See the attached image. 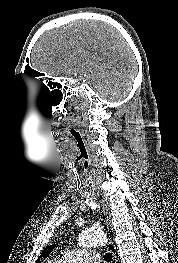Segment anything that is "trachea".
<instances>
[{"mask_svg": "<svg viewBox=\"0 0 178 263\" xmlns=\"http://www.w3.org/2000/svg\"><path fill=\"white\" fill-rule=\"evenodd\" d=\"M104 260L106 261V262H111L112 261V254L111 253H106L105 255H104Z\"/></svg>", "mask_w": 178, "mask_h": 263, "instance_id": "3493384b", "label": "trachea"}]
</instances>
